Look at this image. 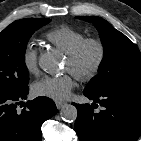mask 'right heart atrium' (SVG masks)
Returning <instances> with one entry per match:
<instances>
[{"label":"right heart atrium","mask_w":141,"mask_h":141,"mask_svg":"<svg viewBox=\"0 0 141 141\" xmlns=\"http://www.w3.org/2000/svg\"><path fill=\"white\" fill-rule=\"evenodd\" d=\"M22 62L25 70L29 74L38 72V51L32 43H28L22 54Z\"/></svg>","instance_id":"1"}]
</instances>
